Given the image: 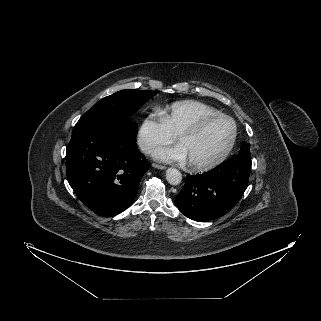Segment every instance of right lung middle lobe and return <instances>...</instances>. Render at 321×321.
<instances>
[{"label": "right lung middle lobe", "instance_id": "right-lung-middle-lobe-1", "mask_svg": "<svg viewBox=\"0 0 321 321\" xmlns=\"http://www.w3.org/2000/svg\"><path fill=\"white\" fill-rule=\"evenodd\" d=\"M156 94L154 91L133 89L118 91L97 102L79 119L74 129L105 124L111 121H125L134 130H137L136 125L129 117Z\"/></svg>", "mask_w": 321, "mask_h": 321}]
</instances>
